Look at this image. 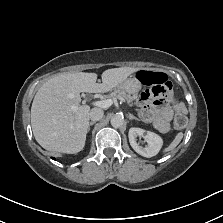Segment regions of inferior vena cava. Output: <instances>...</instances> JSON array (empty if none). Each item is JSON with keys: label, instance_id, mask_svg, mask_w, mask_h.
I'll return each instance as SVG.
<instances>
[{"label": "inferior vena cava", "instance_id": "602c4592", "mask_svg": "<svg viewBox=\"0 0 223 223\" xmlns=\"http://www.w3.org/2000/svg\"><path fill=\"white\" fill-rule=\"evenodd\" d=\"M104 115L103 109L99 107H93L91 111L89 112V117L93 121H98L100 120Z\"/></svg>", "mask_w": 223, "mask_h": 223}]
</instances>
